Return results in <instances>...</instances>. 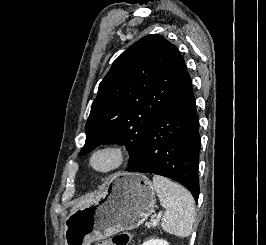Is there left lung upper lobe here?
Masks as SVG:
<instances>
[{
	"mask_svg": "<svg viewBox=\"0 0 266 245\" xmlns=\"http://www.w3.org/2000/svg\"><path fill=\"white\" fill-rule=\"evenodd\" d=\"M186 72L177 47L160 35H147L131 45L100 83L79 155L100 144H122L130 154L128 166L134 164L148 128Z\"/></svg>",
	"mask_w": 266,
	"mask_h": 245,
	"instance_id": "1",
	"label": "left lung upper lobe"
}]
</instances>
